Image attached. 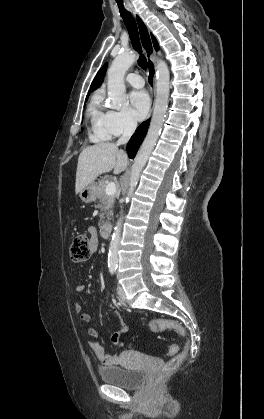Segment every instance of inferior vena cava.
Wrapping results in <instances>:
<instances>
[{
	"label": "inferior vena cava",
	"mask_w": 264,
	"mask_h": 419,
	"mask_svg": "<svg viewBox=\"0 0 264 419\" xmlns=\"http://www.w3.org/2000/svg\"><path fill=\"white\" fill-rule=\"evenodd\" d=\"M136 127H137V122L132 118L128 119L125 123L123 134L117 141V145L128 143L132 134L136 130Z\"/></svg>",
	"instance_id": "inferior-vena-cava-1"
}]
</instances>
